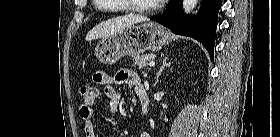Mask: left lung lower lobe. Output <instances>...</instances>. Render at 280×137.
<instances>
[{
  "instance_id": "1",
  "label": "left lung lower lobe",
  "mask_w": 280,
  "mask_h": 137,
  "mask_svg": "<svg viewBox=\"0 0 280 137\" xmlns=\"http://www.w3.org/2000/svg\"><path fill=\"white\" fill-rule=\"evenodd\" d=\"M182 4L183 0H170L165 12L151 19L169 28L175 34L190 36L200 41L213 60L217 16L221 8V0H202L201 8L196 16L183 14Z\"/></svg>"
}]
</instances>
